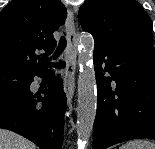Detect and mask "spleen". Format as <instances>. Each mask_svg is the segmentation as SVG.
Returning a JSON list of instances; mask_svg holds the SVG:
<instances>
[{"mask_svg":"<svg viewBox=\"0 0 155 149\" xmlns=\"http://www.w3.org/2000/svg\"><path fill=\"white\" fill-rule=\"evenodd\" d=\"M119 149H155V143L148 140H133L123 144Z\"/></svg>","mask_w":155,"mask_h":149,"instance_id":"spleen-1","label":"spleen"}]
</instances>
